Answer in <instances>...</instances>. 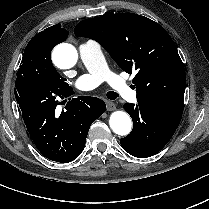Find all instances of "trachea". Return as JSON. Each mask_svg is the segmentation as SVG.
I'll return each instance as SVG.
<instances>
[{
    "label": "trachea",
    "mask_w": 209,
    "mask_h": 209,
    "mask_svg": "<svg viewBox=\"0 0 209 209\" xmlns=\"http://www.w3.org/2000/svg\"><path fill=\"white\" fill-rule=\"evenodd\" d=\"M106 96L110 100H115L118 97L117 93H115L113 91L107 92Z\"/></svg>",
    "instance_id": "1"
}]
</instances>
